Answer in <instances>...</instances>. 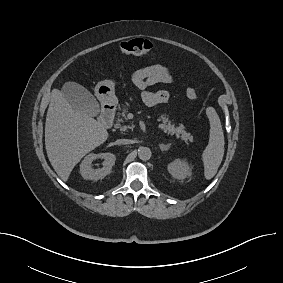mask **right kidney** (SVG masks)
<instances>
[{"label":"right kidney","mask_w":283,"mask_h":283,"mask_svg":"<svg viewBox=\"0 0 283 283\" xmlns=\"http://www.w3.org/2000/svg\"><path fill=\"white\" fill-rule=\"evenodd\" d=\"M97 158L104 159L103 167L99 169H93L91 164L93 160ZM115 161L116 157L112 153L89 154L84 158L80 165V173L86 180L103 179L106 175L110 174Z\"/></svg>","instance_id":"right-kidney-1"}]
</instances>
